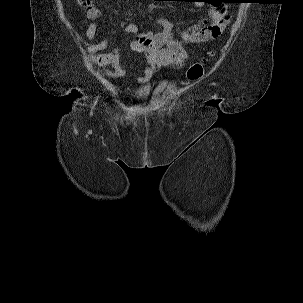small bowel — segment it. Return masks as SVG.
I'll use <instances>...</instances> for the list:
<instances>
[{
	"label": "small bowel",
	"instance_id": "c3829d8e",
	"mask_svg": "<svg viewBox=\"0 0 303 303\" xmlns=\"http://www.w3.org/2000/svg\"><path fill=\"white\" fill-rule=\"evenodd\" d=\"M103 13L98 7H90L86 17L91 21L86 35L93 39L96 35L98 25L96 20ZM227 23L226 13L219 9H212L204 22L193 26L181 33L180 39H174L172 24L164 19L157 18L155 25L158 30L140 34L139 28L134 23L126 24L122 32L135 36L130 47L135 52L143 55L147 64L144 73L138 78V84H147L161 68H180L184 65L187 57L184 44L196 43L218 37ZM109 45V39L104 38L98 43L88 47L91 60L98 64L103 75L110 79H121L125 76V70L121 66V53L114 49L104 52Z\"/></svg>",
	"mask_w": 303,
	"mask_h": 303
}]
</instances>
